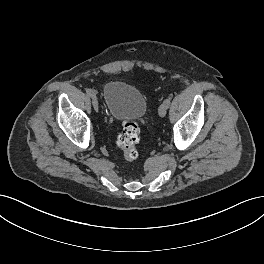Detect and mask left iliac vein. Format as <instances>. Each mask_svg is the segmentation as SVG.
<instances>
[{
    "label": "left iliac vein",
    "mask_w": 264,
    "mask_h": 264,
    "mask_svg": "<svg viewBox=\"0 0 264 264\" xmlns=\"http://www.w3.org/2000/svg\"><path fill=\"white\" fill-rule=\"evenodd\" d=\"M167 105L163 102L159 109H158V113H159V116L160 117H164L166 115V112H167Z\"/></svg>",
    "instance_id": "obj_1"
}]
</instances>
